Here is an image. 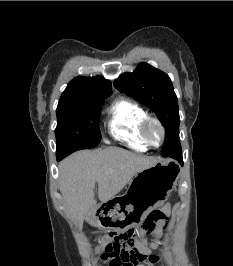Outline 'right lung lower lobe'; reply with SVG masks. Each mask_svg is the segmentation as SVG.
<instances>
[{
  "mask_svg": "<svg viewBox=\"0 0 233 266\" xmlns=\"http://www.w3.org/2000/svg\"><path fill=\"white\" fill-rule=\"evenodd\" d=\"M64 158V156H57V161H60Z\"/></svg>",
  "mask_w": 233,
  "mask_h": 266,
  "instance_id": "1",
  "label": "right lung lower lobe"
}]
</instances>
